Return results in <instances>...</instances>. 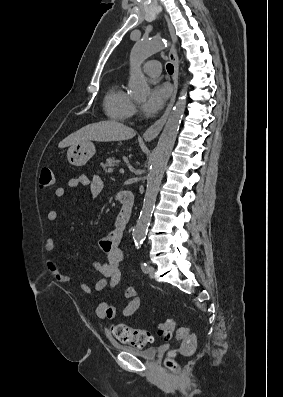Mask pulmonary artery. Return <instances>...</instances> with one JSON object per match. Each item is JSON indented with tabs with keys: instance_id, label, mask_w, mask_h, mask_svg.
Segmentation results:
<instances>
[{
	"instance_id": "pulmonary-artery-1",
	"label": "pulmonary artery",
	"mask_w": 283,
	"mask_h": 397,
	"mask_svg": "<svg viewBox=\"0 0 283 397\" xmlns=\"http://www.w3.org/2000/svg\"><path fill=\"white\" fill-rule=\"evenodd\" d=\"M143 70L147 75L157 77L161 73V64L156 60H151L144 65Z\"/></svg>"
}]
</instances>
